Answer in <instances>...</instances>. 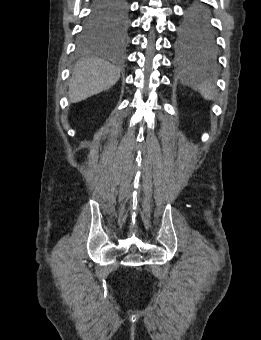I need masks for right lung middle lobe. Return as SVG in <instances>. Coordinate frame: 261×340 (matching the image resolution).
<instances>
[{
	"instance_id": "right-lung-middle-lobe-1",
	"label": "right lung middle lobe",
	"mask_w": 261,
	"mask_h": 340,
	"mask_svg": "<svg viewBox=\"0 0 261 340\" xmlns=\"http://www.w3.org/2000/svg\"><path fill=\"white\" fill-rule=\"evenodd\" d=\"M128 27V9L113 16L91 13L84 22L79 43L86 47L108 39L123 40Z\"/></svg>"
}]
</instances>
